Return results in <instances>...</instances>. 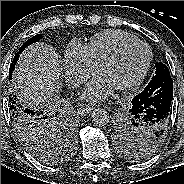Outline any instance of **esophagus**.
Here are the masks:
<instances>
[{
	"instance_id": "obj_1",
	"label": "esophagus",
	"mask_w": 184,
	"mask_h": 184,
	"mask_svg": "<svg viewBox=\"0 0 184 184\" xmlns=\"http://www.w3.org/2000/svg\"><path fill=\"white\" fill-rule=\"evenodd\" d=\"M93 109H94V107L87 105V104H83L79 108L82 115H86V114L90 113Z\"/></svg>"
}]
</instances>
